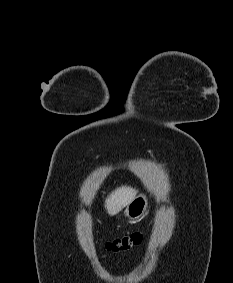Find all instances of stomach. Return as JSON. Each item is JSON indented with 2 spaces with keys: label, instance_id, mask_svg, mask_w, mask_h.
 Returning a JSON list of instances; mask_svg holds the SVG:
<instances>
[{
  "label": "stomach",
  "instance_id": "obj_1",
  "mask_svg": "<svg viewBox=\"0 0 233 283\" xmlns=\"http://www.w3.org/2000/svg\"><path fill=\"white\" fill-rule=\"evenodd\" d=\"M148 199L145 195L140 194L135 197L126 207L124 214L131 220L140 218L146 211Z\"/></svg>",
  "mask_w": 233,
  "mask_h": 283
}]
</instances>
